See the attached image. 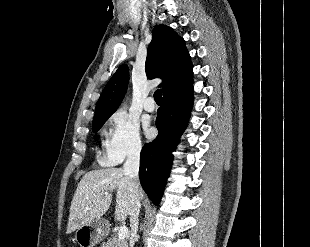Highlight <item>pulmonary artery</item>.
Returning a JSON list of instances; mask_svg holds the SVG:
<instances>
[{"instance_id":"pulmonary-artery-1","label":"pulmonary artery","mask_w":310,"mask_h":247,"mask_svg":"<svg viewBox=\"0 0 310 247\" xmlns=\"http://www.w3.org/2000/svg\"><path fill=\"white\" fill-rule=\"evenodd\" d=\"M144 109L148 112H153L155 110V103L153 98L149 97L144 102Z\"/></svg>"}]
</instances>
